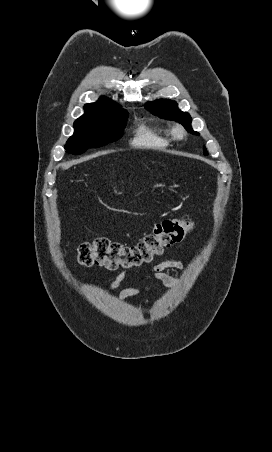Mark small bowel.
Masks as SVG:
<instances>
[{"label": "small bowel", "instance_id": "1", "mask_svg": "<svg viewBox=\"0 0 272 452\" xmlns=\"http://www.w3.org/2000/svg\"><path fill=\"white\" fill-rule=\"evenodd\" d=\"M185 268V263L183 261L171 260L157 263L153 266L152 272L147 276L148 279H155L164 285H176L180 283L178 278H175L166 273L167 270H183ZM127 277V271L120 272L111 287L113 289L117 288L121 282ZM148 287H126L122 289L119 293V299H127L140 294L143 291L148 290Z\"/></svg>", "mask_w": 272, "mask_h": 452}]
</instances>
